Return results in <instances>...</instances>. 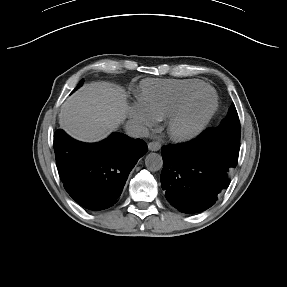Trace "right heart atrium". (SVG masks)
Listing matches in <instances>:
<instances>
[{"instance_id": "right-heart-atrium-1", "label": "right heart atrium", "mask_w": 287, "mask_h": 287, "mask_svg": "<svg viewBox=\"0 0 287 287\" xmlns=\"http://www.w3.org/2000/svg\"><path fill=\"white\" fill-rule=\"evenodd\" d=\"M132 118L143 127H152L155 119L141 106L135 105L131 111Z\"/></svg>"}]
</instances>
